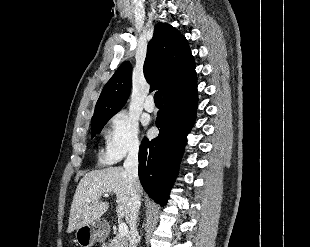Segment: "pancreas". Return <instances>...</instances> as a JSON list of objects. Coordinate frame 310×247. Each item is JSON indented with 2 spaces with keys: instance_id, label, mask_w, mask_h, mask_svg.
Returning a JSON list of instances; mask_svg holds the SVG:
<instances>
[{
  "instance_id": "pancreas-1",
  "label": "pancreas",
  "mask_w": 310,
  "mask_h": 247,
  "mask_svg": "<svg viewBox=\"0 0 310 247\" xmlns=\"http://www.w3.org/2000/svg\"><path fill=\"white\" fill-rule=\"evenodd\" d=\"M103 247H128V240L127 238L116 236L109 243L104 244Z\"/></svg>"
}]
</instances>
